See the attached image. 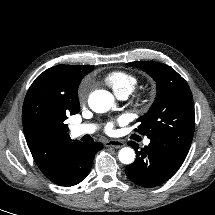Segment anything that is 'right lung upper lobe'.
Wrapping results in <instances>:
<instances>
[{
  "label": "right lung upper lobe",
  "mask_w": 215,
  "mask_h": 215,
  "mask_svg": "<svg viewBox=\"0 0 215 215\" xmlns=\"http://www.w3.org/2000/svg\"><path fill=\"white\" fill-rule=\"evenodd\" d=\"M66 68L68 69V78L71 77L76 81H81L93 69L92 66L87 65H66ZM51 71L48 69L40 74L32 83L31 88L40 86L51 92L59 88L67 77H55L49 74ZM73 98L79 103L77 91ZM22 122L25 138L36 164L48 179H56L60 174L66 150L76 142L67 133L69 130L68 126L46 128L37 124L28 114L26 103L23 105Z\"/></svg>",
  "instance_id": "right-lung-upper-lobe-1"
}]
</instances>
